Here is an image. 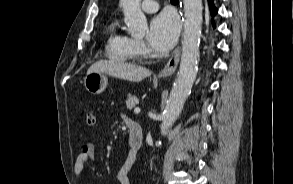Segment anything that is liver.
Listing matches in <instances>:
<instances>
[{
  "instance_id": "liver-1",
  "label": "liver",
  "mask_w": 293,
  "mask_h": 184,
  "mask_svg": "<svg viewBox=\"0 0 293 184\" xmlns=\"http://www.w3.org/2000/svg\"><path fill=\"white\" fill-rule=\"evenodd\" d=\"M93 72L106 73L110 76L132 82H140L151 75V72L144 67L110 60H100L92 64L87 74Z\"/></svg>"
}]
</instances>
